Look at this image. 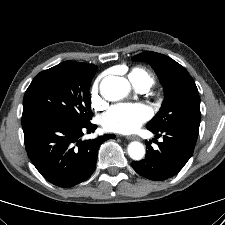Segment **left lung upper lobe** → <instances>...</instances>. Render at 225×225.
<instances>
[{"label": "left lung upper lobe", "mask_w": 225, "mask_h": 225, "mask_svg": "<svg viewBox=\"0 0 225 225\" xmlns=\"http://www.w3.org/2000/svg\"><path fill=\"white\" fill-rule=\"evenodd\" d=\"M148 62L165 89V99L147 129L159 131L175 127L199 132L200 97L193 78L179 63L156 52H143L133 57Z\"/></svg>", "instance_id": "5c2ea615"}]
</instances>
